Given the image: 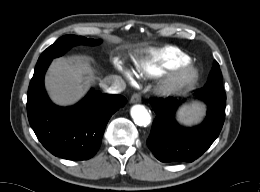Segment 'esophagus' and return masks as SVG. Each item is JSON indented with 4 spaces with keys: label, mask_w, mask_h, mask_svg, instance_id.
Masks as SVG:
<instances>
[{
    "label": "esophagus",
    "mask_w": 260,
    "mask_h": 192,
    "mask_svg": "<svg viewBox=\"0 0 260 192\" xmlns=\"http://www.w3.org/2000/svg\"><path fill=\"white\" fill-rule=\"evenodd\" d=\"M130 102H131V103H139V102H141V96H140V94H139V93H134V94L131 96Z\"/></svg>",
    "instance_id": "obj_1"
}]
</instances>
